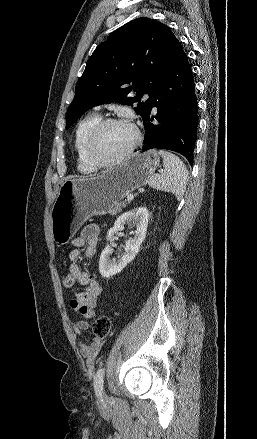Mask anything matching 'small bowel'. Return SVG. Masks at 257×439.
Returning a JSON list of instances; mask_svg holds the SVG:
<instances>
[{"instance_id": "1", "label": "small bowel", "mask_w": 257, "mask_h": 439, "mask_svg": "<svg viewBox=\"0 0 257 439\" xmlns=\"http://www.w3.org/2000/svg\"><path fill=\"white\" fill-rule=\"evenodd\" d=\"M99 233L97 226H87L71 242L74 248L69 253V260L71 261L69 272L83 289L73 296L70 301V307L85 319L77 321L73 326V331L77 336H80L89 328L87 319L94 317L97 299L102 291L98 281L78 264L82 259L94 257L99 241ZM77 344L81 356L87 363V367L92 368L101 348V339L93 337L89 344H84L80 338H77Z\"/></svg>"}]
</instances>
